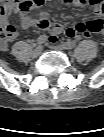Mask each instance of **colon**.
Here are the masks:
<instances>
[{
	"label": "colon",
	"mask_w": 104,
	"mask_h": 137,
	"mask_svg": "<svg viewBox=\"0 0 104 137\" xmlns=\"http://www.w3.org/2000/svg\"><path fill=\"white\" fill-rule=\"evenodd\" d=\"M21 9L26 10L27 6L22 5ZM86 29L92 32H101L103 29V21L101 19H93L86 23ZM13 31H14V28L11 25L5 28L2 27L1 32H0L1 41L4 40V38L8 36L10 33H12ZM75 34H76V31L72 28H66L62 30L61 32H58L55 29H51L49 31L48 38L51 43H56L58 42L60 35H64L70 38V37H73Z\"/></svg>",
	"instance_id": "5ec220e1"
}]
</instances>
